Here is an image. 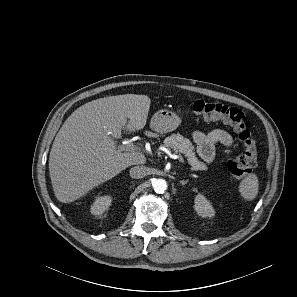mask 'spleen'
Returning <instances> with one entry per match:
<instances>
[{"label":"spleen","instance_id":"1","mask_svg":"<svg viewBox=\"0 0 297 297\" xmlns=\"http://www.w3.org/2000/svg\"><path fill=\"white\" fill-rule=\"evenodd\" d=\"M258 178L255 174H247L240 182L239 192L245 200H253L258 194Z\"/></svg>","mask_w":297,"mask_h":297}]
</instances>
